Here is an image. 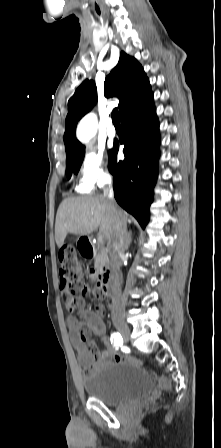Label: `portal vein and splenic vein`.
<instances>
[{
    "mask_svg": "<svg viewBox=\"0 0 221 448\" xmlns=\"http://www.w3.org/2000/svg\"><path fill=\"white\" fill-rule=\"evenodd\" d=\"M98 241H99V242H102V241H103V236H102V235H100V236L98 237Z\"/></svg>",
    "mask_w": 221,
    "mask_h": 448,
    "instance_id": "1",
    "label": "portal vein and splenic vein"
}]
</instances>
